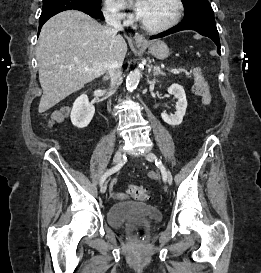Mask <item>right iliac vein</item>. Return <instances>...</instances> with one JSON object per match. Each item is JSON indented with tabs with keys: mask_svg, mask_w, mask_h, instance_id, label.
I'll return each instance as SVG.
<instances>
[{
	"mask_svg": "<svg viewBox=\"0 0 261 273\" xmlns=\"http://www.w3.org/2000/svg\"><path fill=\"white\" fill-rule=\"evenodd\" d=\"M121 159H122V149H118L114 155V158H113V164L114 165H117L121 162ZM107 190V183H104L102 186H101V193H105Z\"/></svg>",
	"mask_w": 261,
	"mask_h": 273,
	"instance_id": "obj_1",
	"label": "right iliac vein"
}]
</instances>
